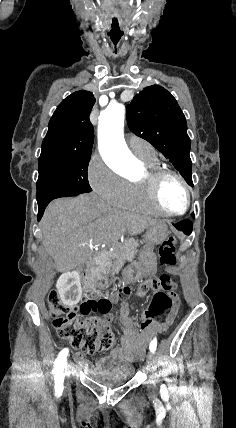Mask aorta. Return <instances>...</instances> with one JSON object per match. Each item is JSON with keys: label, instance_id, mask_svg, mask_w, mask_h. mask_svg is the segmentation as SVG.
<instances>
[{"label": "aorta", "instance_id": "1", "mask_svg": "<svg viewBox=\"0 0 236 428\" xmlns=\"http://www.w3.org/2000/svg\"><path fill=\"white\" fill-rule=\"evenodd\" d=\"M125 107L109 105L99 117L98 146L105 162L126 176H130L137 160L128 149L124 135Z\"/></svg>", "mask_w": 236, "mask_h": 428}]
</instances>
